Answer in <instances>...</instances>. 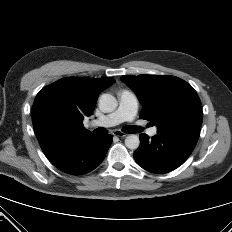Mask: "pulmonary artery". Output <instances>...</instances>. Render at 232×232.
Segmentation results:
<instances>
[{
    "mask_svg": "<svg viewBox=\"0 0 232 232\" xmlns=\"http://www.w3.org/2000/svg\"><path fill=\"white\" fill-rule=\"evenodd\" d=\"M118 108L105 116L95 119L90 122L91 127H112L123 122H131L137 115L139 102L136 95L128 90H122L118 94ZM157 134V127H152L148 130L149 136Z\"/></svg>",
    "mask_w": 232,
    "mask_h": 232,
    "instance_id": "pulmonary-artery-1",
    "label": "pulmonary artery"
}]
</instances>
